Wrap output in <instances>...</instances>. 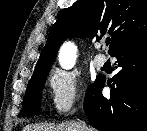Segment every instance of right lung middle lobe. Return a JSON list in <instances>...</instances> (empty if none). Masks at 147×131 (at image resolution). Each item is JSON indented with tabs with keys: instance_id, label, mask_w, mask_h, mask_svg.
<instances>
[{
	"instance_id": "dd1d6c3e",
	"label": "right lung middle lobe",
	"mask_w": 147,
	"mask_h": 131,
	"mask_svg": "<svg viewBox=\"0 0 147 131\" xmlns=\"http://www.w3.org/2000/svg\"><path fill=\"white\" fill-rule=\"evenodd\" d=\"M49 70L33 75L28 83L21 113L23 115L40 110V97Z\"/></svg>"
}]
</instances>
